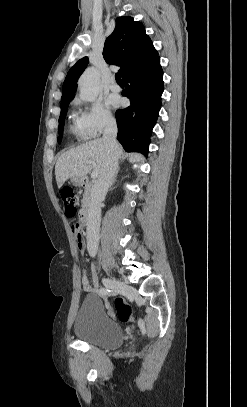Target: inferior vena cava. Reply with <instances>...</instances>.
<instances>
[{
	"mask_svg": "<svg viewBox=\"0 0 247 407\" xmlns=\"http://www.w3.org/2000/svg\"><path fill=\"white\" fill-rule=\"evenodd\" d=\"M117 125L114 120L106 123L103 133V141L108 149L106 166L94 183L91 190V198L88 206V218L86 223L87 250L94 257L98 249L99 229L101 221V202L104 200L113 176L118 167V143L116 140Z\"/></svg>",
	"mask_w": 247,
	"mask_h": 407,
	"instance_id": "602c4592",
	"label": "inferior vena cava"
}]
</instances>
